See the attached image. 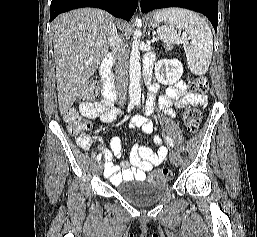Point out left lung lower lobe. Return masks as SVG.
I'll use <instances>...</instances> for the list:
<instances>
[{
  "instance_id": "0a47b994",
  "label": "left lung lower lobe",
  "mask_w": 257,
  "mask_h": 237,
  "mask_svg": "<svg viewBox=\"0 0 257 237\" xmlns=\"http://www.w3.org/2000/svg\"><path fill=\"white\" fill-rule=\"evenodd\" d=\"M167 7H181L200 12L211 21L215 32L217 31V0H141V11L143 13Z\"/></svg>"
}]
</instances>
